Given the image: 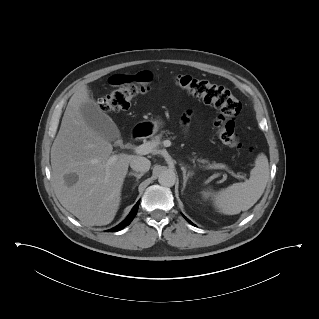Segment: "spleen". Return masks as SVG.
Segmentation results:
<instances>
[{
    "mask_svg": "<svg viewBox=\"0 0 319 319\" xmlns=\"http://www.w3.org/2000/svg\"><path fill=\"white\" fill-rule=\"evenodd\" d=\"M269 179V163L261 153L250 171V178L245 182L233 185L214 195L215 206L226 215L239 214L250 209L262 196Z\"/></svg>",
    "mask_w": 319,
    "mask_h": 319,
    "instance_id": "1",
    "label": "spleen"
}]
</instances>
